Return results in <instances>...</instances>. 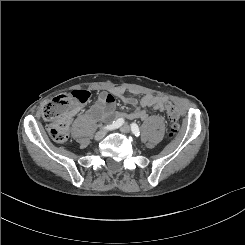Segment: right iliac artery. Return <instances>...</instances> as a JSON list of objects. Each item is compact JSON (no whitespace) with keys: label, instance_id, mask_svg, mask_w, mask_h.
Here are the masks:
<instances>
[{"label":"right iliac artery","instance_id":"1","mask_svg":"<svg viewBox=\"0 0 245 245\" xmlns=\"http://www.w3.org/2000/svg\"><path fill=\"white\" fill-rule=\"evenodd\" d=\"M123 123H124V119L119 118L116 121H113L111 124L105 126L104 129H110V130L116 129V128L120 127Z\"/></svg>","mask_w":245,"mask_h":245}]
</instances>
